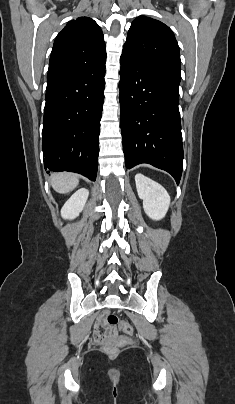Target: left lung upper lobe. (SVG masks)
I'll use <instances>...</instances> for the list:
<instances>
[{"mask_svg": "<svg viewBox=\"0 0 235 404\" xmlns=\"http://www.w3.org/2000/svg\"><path fill=\"white\" fill-rule=\"evenodd\" d=\"M122 54L181 78L179 46L164 23L139 16L128 31Z\"/></svg>", "mask_w": 235, "mask_h": 404, "instance_id": "5c2ea615", "label": "left lung upper lobe"}]
</instances>
